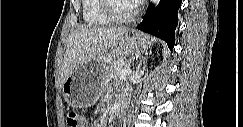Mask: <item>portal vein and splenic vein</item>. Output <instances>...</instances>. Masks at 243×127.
<instances>
[{
	"mask_svg": "<svg viewBox=\"0 0 243 127\" xmlns=\"http://www.w3.org/2000/svg\"><path fill=\"white\" fill-rule=\"evenodd\" d=\"M118 74L121 76L129 75L131 74V70L129 68L119 69Z\"/></svg>",
	"mask_w": 243,
	"mask_h": 127,
	"instance_id": "portal-vein-and-splenic-vein-1",
	"label": "portal vein and splenic vein"
}]
</instances>
